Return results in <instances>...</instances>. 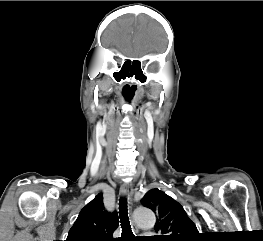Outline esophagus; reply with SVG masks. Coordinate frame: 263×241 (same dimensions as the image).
<instances>
[{"mask_svg": "<svg viewBox=\"0 0 263 241\" xmlns=\"http://www.w3.org/2000/svg\"><path fill=\"white\" fill-rule=\"evenodd\" d=\"M120 194L122 197H126L130 200L131 202V193L129 190V184L128 183H122L121 188H120ZM136 232H138L137 228H134Z\"/></svg>", "mask_w": 263, "mask_h": 241, "instance_id": "esophagus-1", "label": "esophagus"}]
</instances>
